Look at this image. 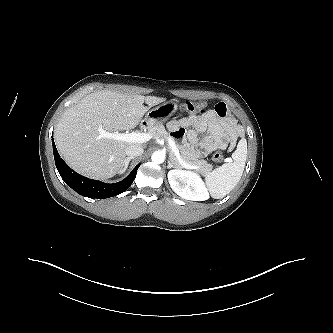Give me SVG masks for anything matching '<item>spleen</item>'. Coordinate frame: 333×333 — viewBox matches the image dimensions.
Wrapping results in <instances>:
<instances>
[{
	"mask_svg": "<svg viewBox=\"0 0 333 333\" xmlns=\"http://www.w3.org/2000/svg\"><path fill=\"white\" fill-rule=\"evenodd\" d=\"M246 158L247 141L242 138L236 150L232 153V160L224 163L205 176L207 186L213 198H223L236 187L243 174Z\"/></svg>",
	"mask_w": 333,
	"mask_h": 333,
	"instance_id": "obj_1",
	"label": "spleen"
}]
</instances>
